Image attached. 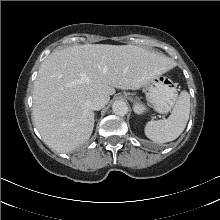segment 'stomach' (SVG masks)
<instances>
[{
	"instance_id": "0dacf381",
	"label": "stomach",
	"mask_w": 220,
	"mask_h": 220,
	"mask_svg": "<svg viewBox=\"0 0 220 220\" xmlns=\"http://www.w3.org/2000/svg\"><path fill=\"white\" fill-rule=\"evenodd\" d=\"M145 94L147 100L159 113L169 112L177 99L175 84L170 78L161 75L145 85ZM136 110L142 113L145 109L137 104Z\"/></svg>"
}]
</instances>
